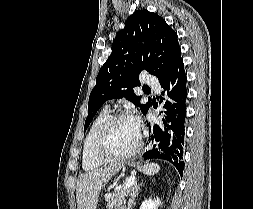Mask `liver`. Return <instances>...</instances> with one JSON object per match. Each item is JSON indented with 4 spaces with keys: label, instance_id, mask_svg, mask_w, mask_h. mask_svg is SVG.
<instances>
[{
    "label": "liver",
    "instance_id": "obj_1",
    "mask_svg": "<svg viewBox=\"0 0 253 209\" xmlns=\"http://www.w3.org/2000/svg\"><path fill=\"white\" fill-rule=\"evenodd\" d=\"M121 165H109L81 175L77 181L76 199L78 209H96L99 192Z\"/></svg>",
    "mask_w": 253,
    "mask_h": 209
}]
</instances>
